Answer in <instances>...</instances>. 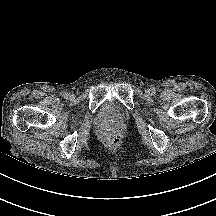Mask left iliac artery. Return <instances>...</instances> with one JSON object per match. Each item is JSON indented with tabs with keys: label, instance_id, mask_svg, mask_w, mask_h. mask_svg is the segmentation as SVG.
Returning <instances> with one entry per match:
<instances>
[{
	"label": "left iliac artery",
	"instance_id": "44dca946",
	"mask_svg": "<svg viewBox=\"0 0 216 216\" xmlns=\"http://www.w3.org/2000/svg\"><path fill=\"white\" fill-rule=\"evenodd\" d=\"M156 93V89L154 87H152V94Z\"/></svg>",
	"mask_w": 216,
	"mask_h": 216
}]
</instances>
